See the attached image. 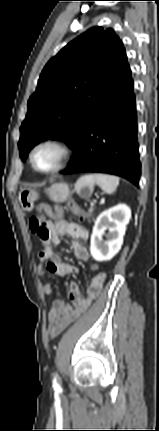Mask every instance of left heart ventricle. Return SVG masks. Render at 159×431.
<instances>
[{
  "mask_svg": "<svg viewBox=\"0 0 159 431\" xmlns=\"http://www.w3.org/2000/svg\"><path fill=\"white\" fill-rule=\"evenodd\" d=\"M60 153L52 146H45L38 149L34 154L36 166L41 170L53 168L59 161Z\"/></svg>",
  "mask_w": 159,
  "mask_h": 431,
  "instance_id": "1",
  "label": "left heart ventricle"
}]
</instances>
